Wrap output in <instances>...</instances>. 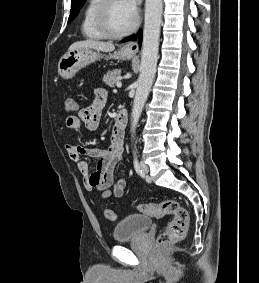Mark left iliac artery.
I'll return each mask as SVG.
<instances>
[{
    "instance_id": "1",
    "label": "left iliac artery",
    "mask_w": 259,
    "mask_h": 283,
    "mask_svg": "<svg viewBox=\"0 0 259 283\" xmlns=\"http://www.w3.org/2000/svg\"><path fill=\"white\" fill-rule=\"evenodd\" d=\"M133 154H134V168H135V171L137 173H141L142 170L140 169V165H139V162H138V159H137V155H136V151L133 150Z\"/></svg>"
}]
</instances>
